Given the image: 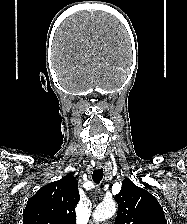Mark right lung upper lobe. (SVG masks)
Instances as JSON below:
<instances>
[{
  "label": "right lung upper lobe",
  "mask_w": 187,
  "mask_h": 224,
  "mask_svg": "<svg viewBox=\"0 0 187 224\" xmlns=\"http://www.w3.org/2000/svg\"><path fill=\"white\" fill-rule=\"evenodd\" d=\"M78 182L68 174L41 187L23 212V224H75L79 202Z\"/></svg>",
  "instance_id": "right-lung-upper-lobe-1"
}]
</instances>
